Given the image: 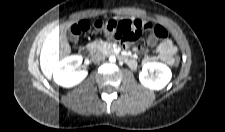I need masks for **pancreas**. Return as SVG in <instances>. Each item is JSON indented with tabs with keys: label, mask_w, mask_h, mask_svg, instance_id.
Wrapping results in <instances>:
<instances>
[{
	"label": "pancreas",
	"mask_w": 225,
	"mask_h": 132,
	"mask_svg": "<svg viewBox=\"0 0 225 132\" xmlns=\"http://www.w3.org/2000/svg\"><path fill=\"white\" fill-rule=\"evenodd\" d=\"M96 46L99 50L103 51L104 54L106 55H110L113 53V49L110 43H106V42L100 43V44L97 43Z\"/></svg>",
	"instance_id": "cf45deb5"
}]
</instances>
